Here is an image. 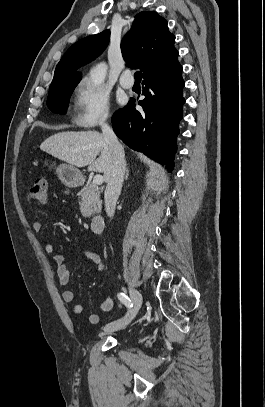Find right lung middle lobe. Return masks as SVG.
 <instances>
[{
  "mask_svg": "<svg viewBox=\"0 0 265 407\" xmlns=\"http://www.w3.org/2000/svg\"><path fill=\"white\" fill-rule=\"evenodd\" d=\"M78 82H60L50 86L47 106L54 113L64 114L67 110L70 96Z\"/></svg>",
  "mask_w": 265,
  "mask_h": 407,
  "instance_id": "1",
  "label": "right lung middle lobe"
}]
</instances>
